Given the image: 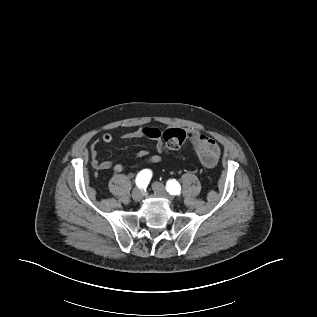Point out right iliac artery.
Returning a JSON list of instances; mask_svg holds the SVG:
<instances>
[{"instance_id":"82829eb1","label":"right iliac artery","mask_w":317,"mask_h":317,"mask_svg":"<svg viewBox=\"0 0 317 317\" xmlns=\"http://www.w3.org/2000/svg\"><path fill=\"white\" fill-rule=\"evenodd\" d=\"M152 177V171L149 169H144L142 171H140L136 177V185L139 188H144L147 186V184L149 183L150 179Z\"/></svg>"}]
</instances>
